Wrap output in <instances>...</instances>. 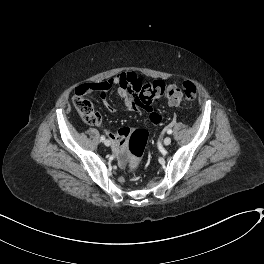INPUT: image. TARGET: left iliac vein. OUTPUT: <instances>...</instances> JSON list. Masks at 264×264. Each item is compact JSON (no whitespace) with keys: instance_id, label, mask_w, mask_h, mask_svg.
Segmentation results:
<instances>
[{"instance_id":"left-iliac-vein-1","label":"left iliac vein","mask_w":264,"mask_h":264,"mask_svg":"<svg viewBox=\"0 0 264 264\" xmlns=\"http://www.w3.org/2000/svg\"><path fill=\"white\" fill-rule=\"evenodd\" d=\"M171 141H172L171 138L167 136V137L163 140V143H164V145L167 146V145H170V144H171Z\"/></svg>"}]
</instances>
